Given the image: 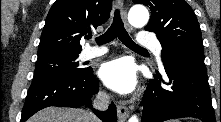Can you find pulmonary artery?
<instances>
[{"mask_svg":"<svg viewBox=\"0 0 221 122\" xmlns=\"http://www.w3.org/2000/svg\"><path fill=\"white\" fill-rule=\"evenodd\" d=\"M139 46L154 50L158 58H160L162 47L160 42L151 34L142 33L138 39ZM107 52L104 47H86L81 53V59L88 60L99 57Z\"/></svg>","mask_w":221,"mask_h":122,"instance_id":"1","label":"pulmonary artery"}]
</instances>
